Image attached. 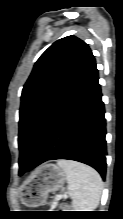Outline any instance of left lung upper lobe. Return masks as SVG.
I'll use <instances>...</instances> for the list:
<instances>
[{
    "instance_id": "left-lung-upper-lobe-1",
    "label": "left lung upper lobe",
    "mask_w": 123,
    "mask_h": 219,
    "mask_svg": "<svg viewBox=\"0 0 123 219\" xmlns=\"http://www.w3.org/2000/svg\"><path fill=\"white\" fill-rule=\"evenodd\" d=\"M94 63L89 46L75 36L57 40L37 60L21 95L19 172L30 163L59 106Z\"/></svg>"
}]
</instances>
